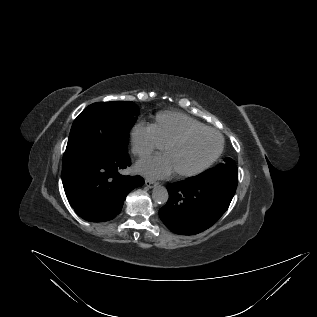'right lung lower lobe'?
Wrapping results in <instances>:
<instances>
[{"mask_svg": "<svg viewBox=\"0 0 317 317\" xmlns=\"http://www.w3.org/2000/svg\"><path fill=\"white\" fill-rule=\"evenodd\" d=\"M127 166L130 157L126 153L62 171L63 187L75 212L92 222L108 221L119 214L127 194L144 183L138 175L119 173Z\"/></svg>", "mask_w": 317, "mask_h": 317, "instance_id": "obj_1", "label": "right lung lower lobe"}]
</instances>
